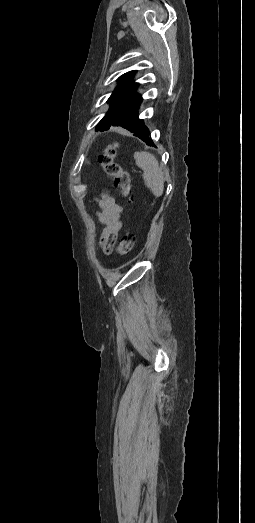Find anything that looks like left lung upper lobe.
I'll use <instances>...</instances> for the list:
<instances>
[{"label": "left lung upper lobe", "instance_id": "1", "mask_svg": "<svg viewBox=\"0 0 255 523\" xmlns=\"http://www.w3.org/2000/svg\"><path fill=\"white\" fill-rule=\"evenodd\" d=\"M135 71H130L119 77V85L112 93L108 102L110 109L98 123L96 130H108L110 126H121L139 137V134H150L143 120L138 118L137 109L142 101L141 95L136 92L138 83L132 81ZM143 141V140H142ZM150 146H156L154 143Z\"/></svg>", "mask_w": 255, "mask_h": 523}]
</instances>
